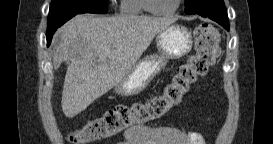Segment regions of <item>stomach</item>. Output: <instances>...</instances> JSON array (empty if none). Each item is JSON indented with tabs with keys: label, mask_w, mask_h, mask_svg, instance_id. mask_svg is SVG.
Wrapping results in <instances>:
<instances>
[{
	"label": "stomach",
	"mask_w": 273,
	"mask_h": 144,
	"mask_svg": "<svg viewBox=\"0 0 273 144\" xmlns=\"http://www.w3.org/2000/svg\"><path fill=\"white\" fill-rule=\"evenodd\" d=\"M190 30L179 24H173L157 34V54L140 59L115 87L121 96H131L145 89L161 71L169 59H177L192 49Z\"/></svg>",
	"instance_id": "1"
}]
</instances>
